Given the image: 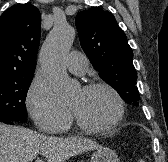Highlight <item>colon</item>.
<instances>
[{"instance_id": "1", "label": "colon", "mask_w": 168, "mask_h": 162, "mask_svg": "<svg viewBox=\"0 0 168 162\" xmlns=\"http://www.w3.org/2000/svg\"><path fill=\"white\" fill-rule=\"evenodd\" d=\"M137 162H145L144 159H139Z\"/></svg>"}]
</instances>
